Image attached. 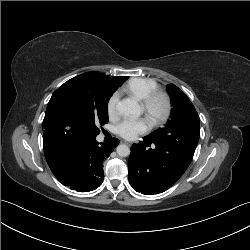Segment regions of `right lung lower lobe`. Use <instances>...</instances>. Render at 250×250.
<instances>
[{"mask_svg":"<svg viewBox=\"0 0 250 250\" xmlns=\"http://www.w3.org/2000/svg\"><path fill=\"white\" fill-rule=\"evenodd\" d=\"M118 144L116 138L99 145L96 137H70L43 147L56 178L72 190L88 192L102 184L103 162Z\"/></svg>","mask_w":250,"mask_h":250,"instance_id":"right-lung-lower-lobe-1","label":"right lung lower lobe"}]
</instances>
